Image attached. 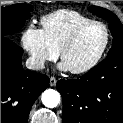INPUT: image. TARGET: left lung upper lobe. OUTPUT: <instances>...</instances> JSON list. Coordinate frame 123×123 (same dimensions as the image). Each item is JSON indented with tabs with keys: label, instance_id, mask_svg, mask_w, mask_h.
Masks as SVG:
<instances>
[{
	"label": "left lung upper lobe",
	"instance_id": "1",
	"mask_svg": "<svg viewBox=\"0 0 123 123\" xmlns=\"http://www.w3.org/2000/svg\"><path fill=\"white\" fill-rule=\"evenodd\" d=\"M89 11L110 23L109 29L113 36V43L107 57L123 52V26L116 15H114L111 11L98 6L89 7Z\"/></svg>",
	"mask_w": 123,
	"mask_h": 123
}]
</instances>
